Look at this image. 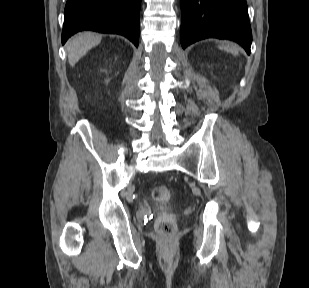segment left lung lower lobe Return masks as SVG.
Wrapping results in <instances>:
<instances>
[{
  "label": "left lung lower lobe",
  "mask_w": 309,
  "mask_h": 288,
  "mask_svg": "<svg viewBox=\"0 0 309 288\" xmlns=\"http://www.w3.org/2000/svg\"><path fill=\"white\" fill-rule=\"evenodd\" d=\"M181 44L205 38L230 39L250 54L252 32L246 0H181Z\"/></svg>",
  "instance_id": "1"
}]
</instances>
